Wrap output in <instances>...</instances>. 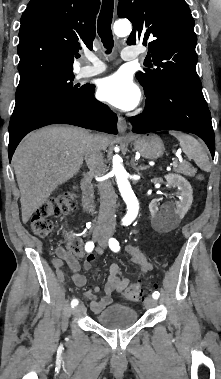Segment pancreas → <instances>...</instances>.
<instances>
[{"label": "pancreas", "mask_w": 221, "mask_h": 379, "mask_svg": "<svg viewBox=\"0 0 221 379\" xmlns=\"http://www.w3.org/2000/svg\"><path fill=\"white\" fill-rule=\"evenodd\" d=\"M191 165L187 162L177 163L174 167V171L184 175H188Z\"/></svg>", "instance_id": "obj_1"}]
</instances>
